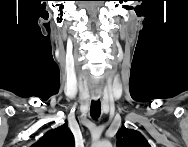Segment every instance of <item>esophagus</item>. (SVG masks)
<instances>
[{"label":"esophagus","mask_w":188,"mask_h":147,"mask_svg":"<svg viewBox=\"0 0 188 147\" xmlns=\"http://www.w3.org/2000/svg\"><path fill=\"white\" fill-rule=\"evenodd\" d=\"M99 97H100V95H98V94H94V95H93V98H94L95 100H98Z\"/></svg>","instance_id":"34e87169"}]
</instances>
